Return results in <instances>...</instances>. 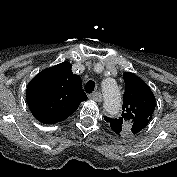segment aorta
I'll list each match as a JSON object with an SVG mask.
<instances>
[{"label": "aorta", "instance_id": "aorta-1", "mask_svg": "<svg viewBox=\"0 0 177 177\" xmlns=\"http://www.w3.org/2000/svg\"><path fill=\"white\" fill-rule=\"evenodd\" d=\"M102 92L104 95V111L115 116L121 109V96L116 83L111 80H105L102 84Z\"/></svg>", "mask_w": 177, "mask_h": 177}]
</instances>
